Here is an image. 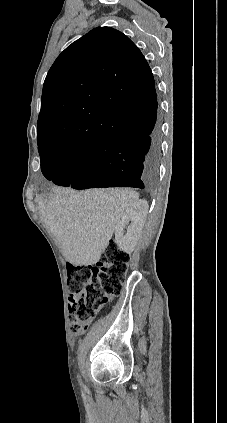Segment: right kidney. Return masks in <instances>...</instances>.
<instances>
[{
	"mask_svg": "<svg viewBox=\"0 0 227 423\" xmlns=\"http://www.w3.org/2000/svg\"><path fill=\"white\" fill-rule=\"evenodd\" d=\"M148 208L149 206L146 200H137L135 204H131V206L124 211L120 221H118L115 227V241L122 251L132 253L137 243V239L142 233V227L145 223ZM128 223H130V225H128ZM124 227H127L125 235Z\"/></svg>",
	"mask_w": 227,
	"mask_h": 423,
	"instance_id": "right-kidney-1",
	"label": "right kidney"
}]
</instances>
